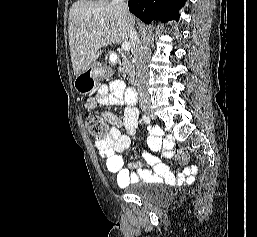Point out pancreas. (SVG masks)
<instances>
[{
  "label": "pancreas",
  "instance_id": "1",
  "mask_svg": "<svg viewBox=\"0 0 257 237\" xmlns=\"http://www.w3.org/2000/svg\"><path fill=\"white\" fill-rule=\"evenodd\" d=\"M122 69L125 73L128 75V80L131 84L134 83V77H135V64L134 59L132 55L128 54H122Z\"/></svg>",
  "mask_w": 257,
  "mask_h": 237
}]
</instances>
